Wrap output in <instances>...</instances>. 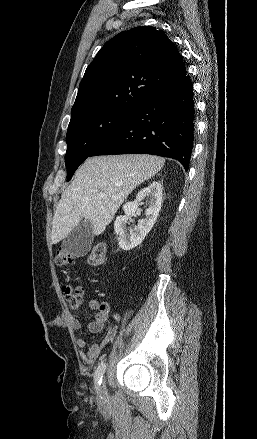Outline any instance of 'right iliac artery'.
<instances>
[{"label":"right iliac artery","instance_id":"right-iliac-artery-1","mask_svg":"<svg viewBox=\"0 0 257 439\" xmlns=\"http://www.w3.org/2000/svg\"><path fill=\"white\" fill-rule=\"evenodd\" d=\"M105 369H106V365L105 363L102 362L98 365L97 369L95 370L94 380H95L96 390H99Z\"/></svg>","mask_w":257,"mask_h":439}]
</instances>
